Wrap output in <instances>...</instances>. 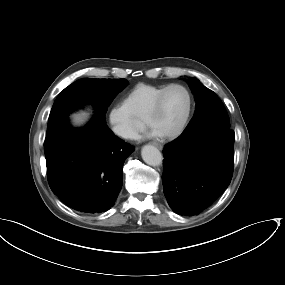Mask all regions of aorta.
Returning <instances> with one entry per match:
<instances>
[{"mask_svg": "<svg viewBox=\"0 0 285 285\" xmlns=\"http://www.w3.org/2000/svg\"><path fill=\"white\" fill-rule=\"evenodd\" d=\"M141 156L150 166H159L163 160L161 152L153 145H145L141 150Z\"/></svg>", "mask_w": 285, "mask_h": 285, "instance_id": "obj_1", "label": "aorta"}]
</instances>
